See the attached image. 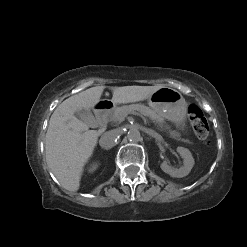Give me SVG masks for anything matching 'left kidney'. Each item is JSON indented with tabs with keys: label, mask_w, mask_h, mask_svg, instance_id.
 <instances>
[{
	"label": "left kidney",
	"mask_w": 247,
	"mask_h": 247,
	"mask_svg": "<svg viewBox=\"0 0 247 247\" xmlns=\"http://www.w3.org/2000/svg\"><path fill=\"white\" fill-rule=\"evenodd\" d=\"M177 152L183 158V166L179 169L169 166L167 161H163L160 165L163 172L169 174L171 177L182 178L187 176L193 168L195 161L191 152L184 147H177Z\"/></svg>",
	"instance_id": "left-kidney-1"
}]
</instances>
